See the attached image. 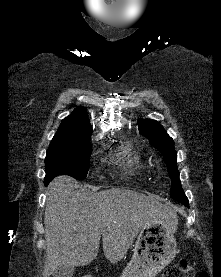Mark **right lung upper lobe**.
<instances>
[{
    "label": "right lung upper lobe",
    "mask_w": 221,
    "mask_h": 277,
    "mask_svg": "<svg viewBox=\"0 0 221 277\" xmlns=\"http://www.w3.org/2000/svg\"><path fill=\"white\" fill-rule=\"evenodd\" d=\"M92 131L87 111L80 106L62 120L55 136L87 137L91 136Z\"/></svg>",
    "instance_id": "obj_1"
}]
</instances>
